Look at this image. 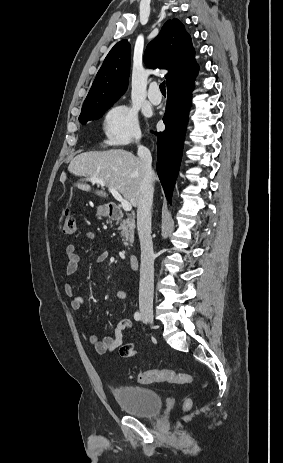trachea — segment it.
Masks as SVG:
<instances>
[{
    "label": "trachea",
    "instance_id": "obj_1",
    "mask_svg": "<svg viewBox=\"0 0 283 463\" xmlns=\"http://www.w3.org/2000/svg\"><path fill=\"white\" fill-rule=\"evenodd\" d=\"M160 91H161L163 94H165V93H166V89H165V81H164V82H162V83L160 84Z\"/></svg>",
    "mask_w": 283,
    "mask_h": 463
}]
</instances>
